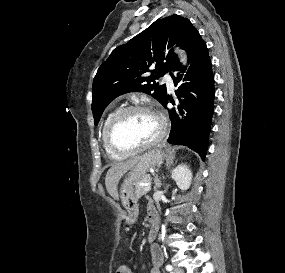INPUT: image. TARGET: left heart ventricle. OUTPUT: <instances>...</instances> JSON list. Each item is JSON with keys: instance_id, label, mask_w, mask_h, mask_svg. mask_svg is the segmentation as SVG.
I'll use <instances>...</instances> for the list:
<instances>
[{"instance_id": "b2bd125f", "label": "left heart ventricle", "mask_w": 285, "mask_h": 273, "mask_svg": "<svg viewBox=\"0 0 285 273\" xmlns=\"http://www.w3.org/2000/svg\"><path fill=\"white\" fill-rule=\"evenodd\" d=\"M158 130V123L151 114L134 111L120 119L114 129L113 139L121 147L132 148L151 141Z\"/></svg>"}]
</instances>
